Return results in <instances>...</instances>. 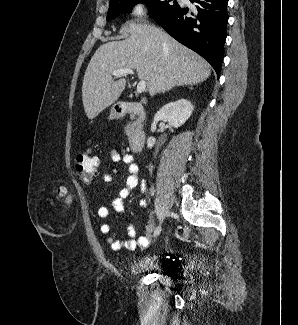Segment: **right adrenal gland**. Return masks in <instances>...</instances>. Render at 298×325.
Wrapping results in <instances>:
<instances>
[{
    "instance_id": "1",
    "label": "right adrenal gland",
    "mask_w": 298,
    "mask_h": 325,
    "mask_svg": "<svg viewBox=\"0 0 298 325\" xmlns=\"http://www.w3.org/2000/svg\"><path fill=\"white\" fill-rule=\"evenodd\" d=\"M177 86H179V84H177ZM167 90H171V88H167Z\"/></svg>"
}]
</instances>
